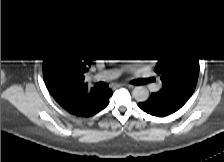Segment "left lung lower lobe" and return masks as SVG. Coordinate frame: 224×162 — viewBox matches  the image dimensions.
Wrapping results in <instances>:
<instances>
[{
  "instance_id": "0a47b994",
  "label": "left lung lower lobe",
  "mask_w": 224,
  "mask_h": 162,
  "mask_svg": "<svg viewBox=\"0 0 224 162\" xmlns=\"http://www.w3.org/2000/svg\"><path fill=\"white\" fill-rule=\"evenodd\" d=\"M189 98L163 94L160 92L152 93L150 98L138 106L148 114L163 117L179 110Z\"/></svg>"
}]
</instances>
